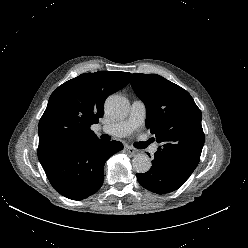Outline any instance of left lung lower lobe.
<instances>
[{
  "label": "left lung lower lobe",
  "instance_id": "obj_1",
  "mask_svg": "<svg viewBox=\"0 0 248 248\" xmlns=\"http://www.w3.org/2000/svg\"><path fill=\"white\" fill-rule=\"evenodd\" d=\"M141 186L157 194L172 192L181 187L190 175L185 174L174 164L155 156L151 169L136 174Z\"/></svg>",
  "mask_w": 248,
  "mask_h": 248
}]
</instances>
